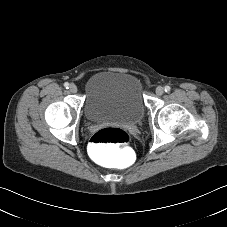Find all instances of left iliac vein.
Returning a JSON list of instances; mask_svg holds the SVG:
<instances>
[{"mask_svg":"<svg viewBox=\"0 0 227 227\" xmlns=\"http://www.w3.org/2000/svg\"><path fill=\"white\" fill-rule=\"evenodd\" d=\"M163 93H164V88L161 87V86H158L156 88V94L159 95V96H161Z\"/></svg>","mask_w":227,"mask_h":227,"instance_id":"left-iliac-vein-1","label":"left iliac vein"}]
</instances>
